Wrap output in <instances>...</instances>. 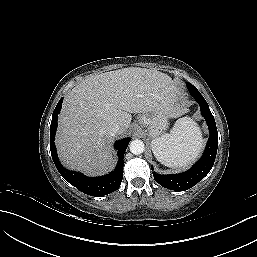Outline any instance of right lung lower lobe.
<instances>
[{"label":"right lung lower lobe","mask_w":257,"mask_h":257,"mask_svg":"<svg viewBox=\"0 0 257 257\" xmlns=\"http://www.w3.org/2000/svg\"><path fill=\"white\" fill-rule=\"evenodd\" d=\"M62 102L63 98L60 99L56 108L54 109L50 125V150L52 159L57 170L67 182H69L71 185L75 186L77 189L87 195L98 197L116 191L122 182L124 165L123 155L128 146V143L130 142V138L116 141L114 146L116 150H118L119 160L115 170L111 173L100 177H87L81 173L67 170L59 162L56 147L54 144V138L57 129V119L58 114L61 110Z\"/></svg>","instance_id":"right-lung-lower-lobe-1"}]
</instances>
